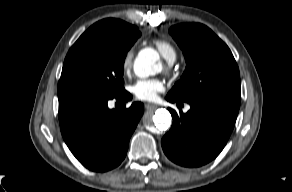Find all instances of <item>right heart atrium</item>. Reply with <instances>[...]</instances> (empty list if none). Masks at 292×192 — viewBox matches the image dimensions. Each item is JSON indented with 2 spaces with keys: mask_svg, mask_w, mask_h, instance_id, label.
<instances>
[{
  "mask_svg": "<svg viewBox=\"0 0 292 192\" xmlns=\"http://www.w3.org/2000/svg\"><path fill=\"white\" fill-rule=\"evenodd\" d=\"M133 59H134V50L133 48H130L126 51L122 59V69L125 73H128L131 70Z\"/></svg>",
  "mask_w": 292,
  "mask_h": 192,
  "instance_id": "1",
  "label": "right heart atrium"
}]
</instances>
